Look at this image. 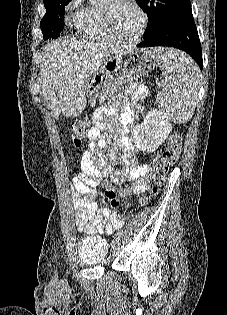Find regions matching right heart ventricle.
Returning <instances> with one entry per match:
<instances>
[{"instance_id":"1","label":"right heart ventricle","mask_w":227,"mask_h":315,"mask_svg":"<svg viewBox=\"0 0 227 315\" xmlns=\"http://www.w3.org/2000/svg\"><path fill=\"white\" fill-rule=\"evenodd\" d=\"M77 33L89 40H112L108 35L102 17V9L98 6L80 8L73 17Z\"/></svg>"}]
</instances>
